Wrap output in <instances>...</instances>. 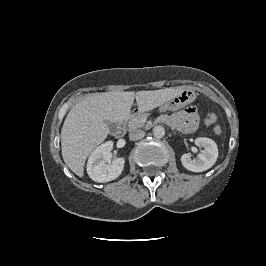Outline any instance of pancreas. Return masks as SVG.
<instances>
[{
	"instance_id": "obj_1",
	"label": "pancreas",
	"mask_w": 266,
	"mask_h": 266,
	"mask_svg": "<svg viewBox=\"0 0 266 266\" xmlns=\"http://www.w3.org/2000/svg\"><path fill=\"white\" fill-rule=\"evenodd\" d=\"M145 117V115L143 114H138L136 116H133L129 123H128V127L129 130H134L137 128H142L145 126L144 122L142 121V119Z\"/></svg>"
}]
</instances>
